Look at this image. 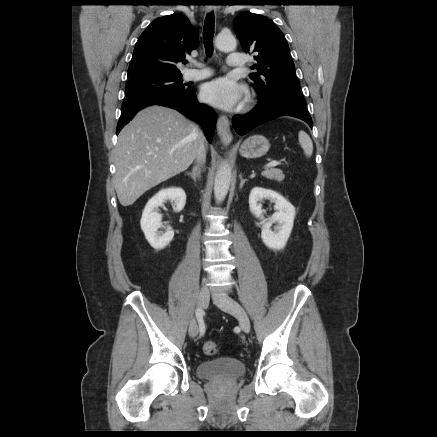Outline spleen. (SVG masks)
<instances>
[{
    "label": "spleen",
    "mask_w": 437,
    "mask_h": 437,
    "mask_svg": "<svg viewBox=\"0 0 437 437\" xmlns=\"http://www.w3.org/2000/svg\"><path fill=\"white\" fill-rule=\"evenodd\" d=\"M298 138H299V143L302 149L304 150V154L307 157H310L313 153V143L311 138L306 132L302 130L298 133Z\"/></svg>",
    "instance_id": "3e777b00"
}]
</instances>
